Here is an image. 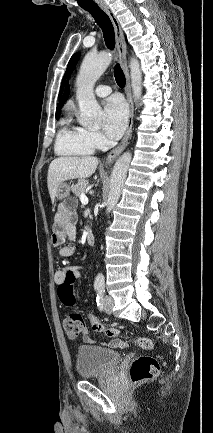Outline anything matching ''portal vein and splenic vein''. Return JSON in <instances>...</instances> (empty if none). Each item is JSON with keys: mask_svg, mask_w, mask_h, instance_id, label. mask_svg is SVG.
Masks as SVG:
<instances>
[{"mask_svg": "<svg viewBox=\"0 0 213 433\" xmlns=\"http://www.w3.org/2000/svg\"><path fill=\"white\" fill-rule=\"evenodd\" d=\"M80 200H81L82 204H84V205L88 204V198L84 193L81 194Z\"/></svg>", "mask_w": 213, "mask_h": 433, "instance_id": "portal-vein-and-splenic-vein-1", "label": "portal vein and splenic vein"}]
</instances>
